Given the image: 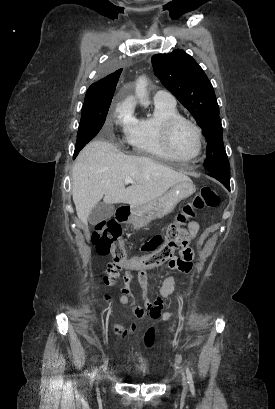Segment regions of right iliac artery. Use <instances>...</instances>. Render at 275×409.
Listing matches in <instances>:
<instances>
[{"label":"right iliac artery","mask_w":275,"mask_h":409,"mask_svg":"<svg viewBox=\"0 0 275 409\" xmlns=\"http://www.w3.org/2000/svg\"><path fill=\"white\" fill-rule=\"evenodd\" d=\"M96 374V370L93 372V374H91V377L93 378Z\"/></svg>","instance_id":"82829eb1"}]
</instances>
